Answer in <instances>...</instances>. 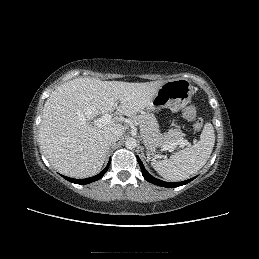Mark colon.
Returning <instances> with one entry per match:
<instances>
[{"instance_id":"1","label":"colon","mask_w":259,"mask_h":259,"mask_svg":"<svg viewBox=\"0 0 259 259\" xmlns=\"http://www.w3.org/2000/svg\"><path fill=\"white\" fill-rule=\"evenodd\" d=\"M184 116L193 122L194 128L196 130H201L203 127V121L197 116L196 109L193 106H188L184 110Z\"/></svg>"}]
</instances>
